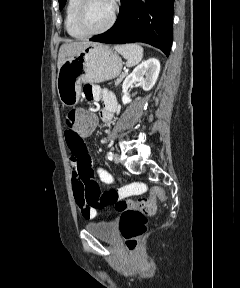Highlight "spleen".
Masks as SVG:
<instances>
[{
    "label": "spleen",
    "mask_w": 240,
    "mask_h": 288,
    "mask_svg": "<svg viewBox=\"0 0 240 288\" xmlns=\"http://www.w3.org/2000/svg\"><path fill=\"white\" fill-rule=\"evenodd\" d=\"M115 48L127 60V65L130 67L138 64L143 58V48L138 44L119 45Z\"/></svg>",
    "instance_id": "obj_1"
}]
</instances>
